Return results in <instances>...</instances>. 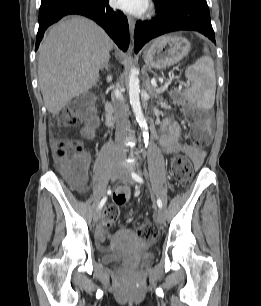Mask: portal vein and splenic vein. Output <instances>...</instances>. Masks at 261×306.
<instances>
[{
    "mask_svg": "<svg viewBox=\"0 0 261 306\" xmlns=\"http://www.w3.org/2000/svg\"><path fill=\"white\" fill-rule=\"evenodd\" d=\"M151 84H152L153 86H157L155 80H152V81H151ZM168 85H169V82H167V83L165 84L166 88L168 87Z\"/></svg>",
    "mask_w": 261,
    "mask_h": 306,
    "instance_id": "portal-vein-and-splenic-vein-1",
    "label": "portal vein and splenic vein"
}]
</instances>
